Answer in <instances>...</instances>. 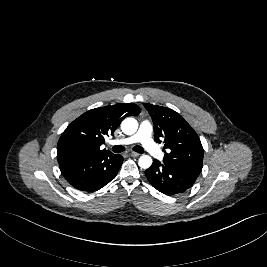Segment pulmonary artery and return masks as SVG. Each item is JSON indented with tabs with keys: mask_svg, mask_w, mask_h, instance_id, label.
Wrapping results in <instances>:
<instances>
[{
	"mask_svg": "<svg viewBox=\"0 0 267 267\" xmlns=\"http://www.w3.org/2000/svg\"><path fill=\"white\" fill-rule=\"evenodd\" d=\"M152 130L151 122L149 120H143L138 131L134 135L121 140H114L111 143L113 145H129L139 142L152 156L161 158L162 153L151 138Z\"/></svg>",
	"mask_w": 267,
	"mask_h": 267,
	"instance_id": "obj_1",
	"label": "pulmonary artery"
}]
</instances>
